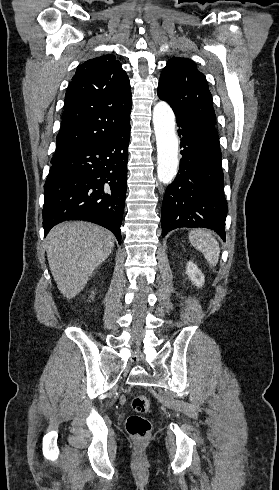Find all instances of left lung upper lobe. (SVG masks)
<instances>
[{
  "label": "left lung upper lobe",
  "mask_w": 279,
  "mask_h": 490,
  "mask_svg": "<svg viewBox=\"0 0 279 490\" xmlns=\"http://www.w3.org/2000/svg\"><path fill=\"white\" fill-rule=\"evenodd\" d=\"M158 96L171 105L176 115L215 126L208 83L192 60L173 57L167 62L160 76Z\"/></svg>",
  "instance_id": "5c2ea615"
}]
</instances>
